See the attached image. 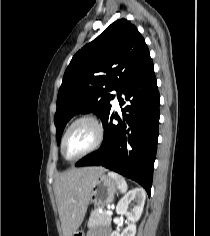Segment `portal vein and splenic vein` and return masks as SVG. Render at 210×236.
Wrapping results in <instances>:
<instances>
[{
    "label": "portal vein and splenic vein",
    "mask_w": 210,
    "mask_h": 236,
    "mask_svg": "<svg viewBox=\"0 0 210 236\" xmlns=\"http://www.w3.org/2000/svg\"><path fill=\"white\" fill-rule=\"evenodd\" d=\"M108 215H112V211L109 209V210H107V212H106Z\"/></svg>",
    "instance_id": "18ae733b"
}]
</instances>
